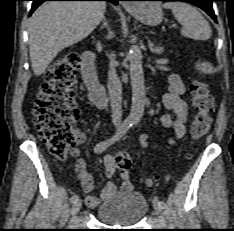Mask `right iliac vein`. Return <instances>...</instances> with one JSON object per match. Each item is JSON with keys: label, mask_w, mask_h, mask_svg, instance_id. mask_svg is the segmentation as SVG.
I'll return each mask as SVG.
<instances>
[{"label": "right iliac vein", "mask_w": 234, "mask_h": 231, "mask_svg": "<svg viewBox=\"0 0 234 231\" xmlns=\"http://www.w3.org/2000/svg\"><path fill=\"white\" fill-rule=\"evenodd\" d=\"M81 201L78 199L76 202L73 203L72 208H71V214L75 215L79 212L81 209Z\"/></svg>", "instance_id": "63e3f726"}]
</instances>
